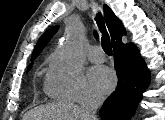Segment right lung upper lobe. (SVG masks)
Masks as SVG:
<instances>
[{
    "mask_svg": "<svg viewBox=\"0 0 165 120\" xmlns=\"http://www.w3.org/2000/svg\"><path fill=\"white\" fill-rule=\"evenodd\" d=\"M104 17L112 38V46L119 42H122L124 35H126V30L122 22L115 16L113 11L107 5H104ZM58 28L59 26L52 27L40 37L33 50V54L31 57L32 61L40 54V52L47 45L52 36L58 31ZM95 37H97L96 32Z\"/></svg>",
    "mask_w": 165,
    "mask_h": 120,
    "instance_id": "cb5924a9",
    "label": "right lung upper lobe"
}]
</instances>
